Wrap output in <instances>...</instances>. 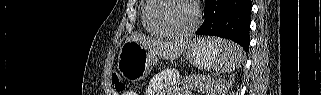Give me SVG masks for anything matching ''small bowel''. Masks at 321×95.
<instances>
[{
    "instance_id": "c3829d8e",
    "label": "small bowel",
    "mask_w": 321,
    "mask_h": 95,
    "mask_svg": "<svg viewBox=\"0 0 321 95\" xmlns=\"http://www.w3.org/2000/svg\"><path fill=\"white\" fill-rule=\"evenodd\" d=\"M124 95H135L134 93H132V92H126ZM155 95H165V93H155ZM187 95H191L190 93L189 94H187Z\"/></svg>"
}]
</instances>
